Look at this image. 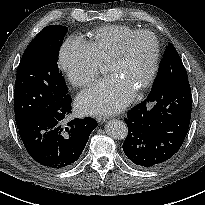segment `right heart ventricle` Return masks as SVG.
<instances>
[{"label":"right heart ventricle","instance_id":"1","mask_svg":"<svg viewBox=\"0 0 205 205\" xmlns=\"http://www.w3.org/2000/svg\"><path fill=\"white\" fill-rule=\"evenodd\" d=\"M136 31L126 25H109L89 35L88 47L100 63H107L119 49L124 38Z\"/></svg>","mask_w":205,"mask_h":205}]
</instances>
